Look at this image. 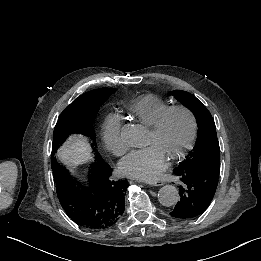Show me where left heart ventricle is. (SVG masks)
<instances>
[{"label":"left heart ventricle","mask_w":261,"mask_h":261,"mask_svg":"<svg viewBox=\"0 0 261 261\" xmlns=\"http://www.w3.org/2000/svg\"><path fill=\"white\" fill-rule=\"evenodd\" d=\"M142 145L155 144L166 159L179 151L190 134L189 118L181 112L170 114L158 131L151 130L148 125Z\"/></svg>","instance_id":"b2bd125f"}]
</instances>
